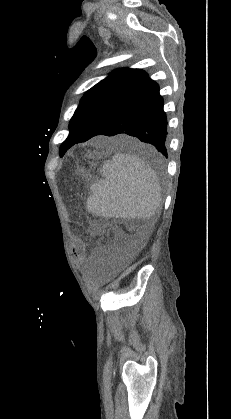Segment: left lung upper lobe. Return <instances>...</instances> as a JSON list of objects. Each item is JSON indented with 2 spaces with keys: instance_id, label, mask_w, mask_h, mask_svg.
Instances as JSON below:
<instances>
[{
  "instance_id": "1",
  "label": "left lung upper lobe",
  "mask_w": 231,
  "mask_h": 419,
  "mask_svg": "<svg viewBox=\"0 0 231 419\" xmlns=\"http://www.w3.org/2000/svg\"><path fill=\"white\" fill-rule=\"evenodd\" d=\"M148 77L140 69H117L88 90L70 123V133L60 147V156L82 142L92 129L116 106L128 98Z\"/></svg>"
}]
</instances>
